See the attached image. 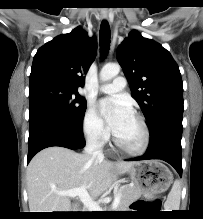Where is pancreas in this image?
Masks as SVG:
<instances>
[{"label": "pancreas", "instance_id": "1", "mask_svg": "<svg viewBox=\"0 0 203 219\" xmlns=\"http://www.w3.org/2000/svg\"><path fill=\"white\" fill-rule=\"evenodd\" d=\"M117 194H120L121 199L117 211H123L133 202V200L141 196V192L136 187L128 185L121 186Z\"/></svg>", "mask_w": 203, "mask_h": 219}]
</instances>
